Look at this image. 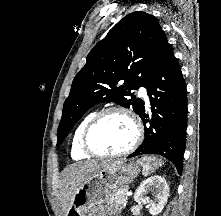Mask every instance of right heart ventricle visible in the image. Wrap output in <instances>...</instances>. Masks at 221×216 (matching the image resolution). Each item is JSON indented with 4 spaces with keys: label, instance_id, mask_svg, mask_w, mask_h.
I'll use <instances>...</instances> for the list:
<instances>
[{
    "label": "right heart ventricle",
    "instance_id": "obj_1",
    "mask_svg": "<svg viewBox=\"0 0 221 216\" xmlns=\"http://www.w3.org/2000/svg\"><path fill=\"white\" fill-rule=\"evenodd\" d=\"M98 113L97 110H92L88 112L79 122L77 125L72 141H71V147H70V154L73 159H84L88 158L89 155L82 149L81 146V137L84 128L88 124V122Z\"/></svg>",
    "mask_w": 221,
    "mask_h": 216
}]
</instances>
